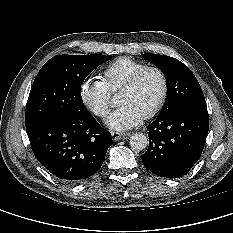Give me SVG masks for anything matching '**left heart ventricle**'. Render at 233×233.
I'll return each instance as SVG.
<instances>
[{
    "instance_id": "left-heart-ventricle-1",
    "label": "left heart ventricle",
    "mask_w": 233,
    "mask_h": 233,
    "mask_svg": "<svg viewBox=\"0 0 233 233\" xmlns=\"http://www.w3.org/2000/svg\"><path fill=\"white\" fill-rule=\"evenodd\" d=\"M161 93V77L156 72H148L134 89L120 92L119 104H129L143 116L155 105Z\"/></svg>"
}]
</instances>
